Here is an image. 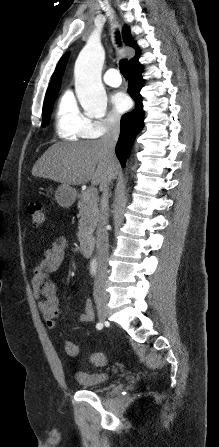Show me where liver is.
<instances>
[{"label":"liver","mask_w":219,"mask_h":447,"mask_svg":"<svg viewBox=\"0 0 219 447\" xmlns=\"http://www.w3.org/2000/svg\"><path fill=\"white\" fill-rule=\"evenodd\" d=\"M119 164L109 161L100 140L56 143L45 151L32 168V175L49 178L64 185L89 181L101 185L116 176Z\"/></svg>","instance_id":"1"}]
</instances>
